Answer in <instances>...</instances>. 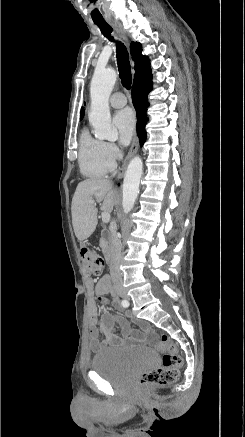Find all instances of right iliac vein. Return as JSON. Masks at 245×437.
<instances>
[{
    "label": "right iliac vein",
    "instance_id": "63e3f726",
    "mask_svg": "<svg viewBox=\"0 0 245 437\" xmlns=\"http://www.w3.org/2000/svg\"><path fill=\"white\" fill-rule=\"evenodd\" d=\"M118 294H119L120 296L124 297V298L127 297L126 292H125L124 290H119V291H118Z\"/></svg>",
    "mask_w": 245,
    "mask_h": 437
}]
</instances>
